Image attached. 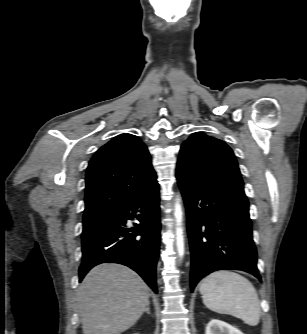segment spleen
<instances>
[{"label":"spleen","mask_w":307,"mask_h":334,"mask_svg":"<svg viewBox=\"0 0 307 334\" xmlns=\"http://www.w3.org/2000/svg\"><path fill=\"white\" fill-rule=\"evenodd\" d=\"M204 305L217 313L228 314L255 326L261 309L252 283L238 273L221 270L205 277L200 283Z\"/></svg>","instance_id":"spleen-1"}]
</instances>
